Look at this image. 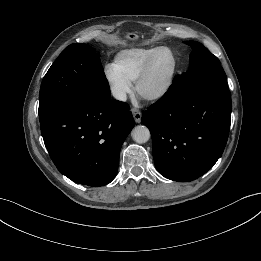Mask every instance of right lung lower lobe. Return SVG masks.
I'll return each mask as SVG.
<instances>
[{
    "instance_id": "right-lung-lower-lobe-1",
    "label": "right lung lower lobe",
    "mask_w": 261,
    "mask_h": 261,
    "mask_svg": "<svg viewBox=\"0 0 261 261\" xmlns=\"http://www.w3.org/2000/svg\"><path fill=\"white\" fill-rule=\"evenodd\" d=\"M40 126L57 169L74 182L98 187L114 179L134 119L124 102L83 96L47 115Z\"/></svg>"
}]
</instances>
